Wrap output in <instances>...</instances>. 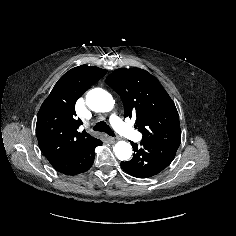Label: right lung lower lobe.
<instances>
[{
    "label": "right lung lower lobe",
    "instance_id": "obj_1",
    "mask_svg": "<svg viewBox=\"0 0 236 236\" xmlns=\"http://www.w3.org/2000/svg\"><path fill=\"white\" fill-rule=\"evenodd\" d=\"M102 141L96 139L91 144L79 149L78 151L68 154L51 161V165L58 172L65 175H77L83 173L92 166L97 146L101 145Z\"/></svg>",
    "mask_w": 236,
    "mask_h": 236
}]
</instances>
